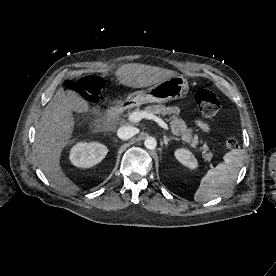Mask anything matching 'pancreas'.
Here are the masks:
<instances>
[{"instance_id": "pancreas-1", "label": "pancreas", "mask_w": 276, "mask_h": 276, "mask_svg": "<svg viewBox=\"0 0 276 276\" xmlns=\"http://www.w3.org/2000/svg\"><path fill=\"white\" fill-rule=\"evenodd\" d=\"M145 112L162 115H169L168 121H170V127L173 134L180 136L181 139L188 143L192 148H196L199 143H203V140H199L197 135H193L192 129L187 128V125L183 119H181L179 115V108L177 107H166L164 105H152L148 106L144 109ZM135 112H140L139 108L135 110ZM132 113L128 112L127 115ZM202 152V157L206 161H210L213 154L209 151V146L206 142L199 148Z\"/></svg>"}]
</instances>
